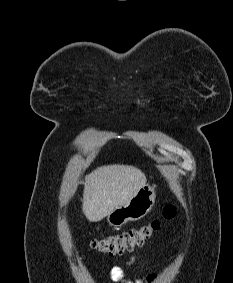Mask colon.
<instances>
[{"label":"colon","instance_id":"5ec220e1","mask_svg":"<svg viewBox=\"0 0 233 283\" xmlns=\"http://www.w3.org/2000/svg\"><path fill=\"white\" fill-rule=\"evenodd\" d=\"M176 215V208L172 204H166L162 209V218L172 219ZM160 219L154 218L149 222L131 229L122 234L94 239L91 247L105 255L115 256L142 245L159 229Z\"/></svg>","mask_w":233,"mask_h":283}]
</instances>
